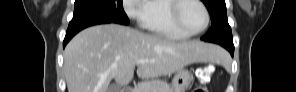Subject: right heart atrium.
<instances>
[{"label":"right heart atrium","instance_id":"obj_1","mask_svg":"<svg viewBox=\"0 0 296 92\" xmlns=\"http://www.w3.org/2000/svg\"><path fill=\"white\" fill-rule=\"evenodd\" d=\"M124 9L127 16L137 22L142 24L148 12V1L146 0H125Z\"/></svg>","mask_w":296,"mask_h":92}]
</instances>
